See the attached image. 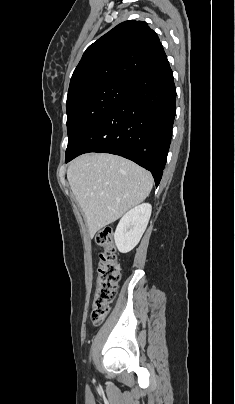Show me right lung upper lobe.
I'll return each mask as SVG.
<instances>
[{
	"instance_id": "1",
	"label": "right lung upper lobe",
	"mask_w": 235,
	"mask_h": 404,
	"mask_svg": "<svg viewBox=\"0 0 235 404\" xmlns=\"http://www.w3.org/2000/svg\"><path fill=\"white\" fill-rule=\"evenodd\" d=\"M165 60L162 44L146 22H122L86 49L71 77L67 100L98 84L126 83Z\"/></svg>"
}]
</instances>
